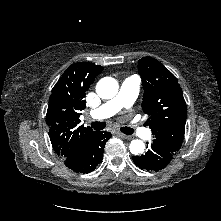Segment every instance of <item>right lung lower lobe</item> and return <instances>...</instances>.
Returning a JSON list of instances; mask_svg holds the SVG:
<instances>
[{
    "label": "right lung lower lobe",
    "instance_id": "1",
    "mask_svg": "<svg viewBox=\"0 0 221 221\" xmlns=\"http://www.w3.org/2000/svg\"><path fill=\"white\" fill-rule=\"evenodd\" d=\"M110 137V132H95L89 139L84 152L78 156L65 158V165L76 173L93 171L102 161L103 150Z\"/></svg>",
    "mask_w": 221,
    "mask_h": 221
}]
</instances>
